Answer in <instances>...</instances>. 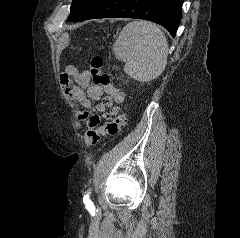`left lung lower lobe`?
Masks as SVG:
<instances>
[{
    "mask_svg": "<svg viewBox=\"0 0 240 238\" xmlns=\"http://www.w3.org/2000/svg\"><path fill=\"white\" fill-rule=\"evenodd\" d=\"M183 0H91L72 22L96 18H139L158 23L175 37Z\"/></svg>",
    "mask_w": 240,
    "mask_h": 238,
    "instance_id": "1",
    "label": "left lung lower lobe"
}]
</instances>
